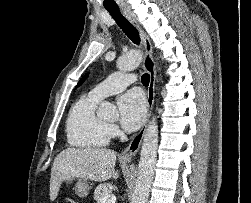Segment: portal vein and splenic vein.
I'll use <instances>...</instances> for the list:
<instances>
[{
	"label": "portal vein and splenic vein",
	"mask_w": 251,
	"mask_h": 203,
	"mask_svg": "<svg viewBox=\"0 0 251 203\" xmlns=\"http://www.w3.org/2000/svg\"><path fill=\"white\" fill-rule=\"evenodd\" d=\"M115 202H116V196L111 195L103 197L101 203H115Z\"/></svg>",
	"instance_id": "portal-vein-and-splenic-vein-1"
}]
</instances>
